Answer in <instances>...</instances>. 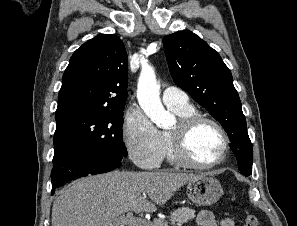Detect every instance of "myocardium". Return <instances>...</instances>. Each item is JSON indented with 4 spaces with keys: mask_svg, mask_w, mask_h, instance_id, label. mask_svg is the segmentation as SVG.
Returning a JSON list of instances; mask_svg holds the SVG:
<instances>
[{
    "mask_svg": "<svg viewBox=\"0 0 297 226\" xmlns=\"http://www.w3.org/2000/svg\"><path fill=\"white\" fill-rule=\"evenodd\" d=\"M202 123H209L215 126L224 139V145L220 156L215 161L207 164L197 162L191 156L188 148V139L191 132L195 127ZM167 134L177 162L180 165L193 169H211L220 165L226 158L231 142L228 132L220 122L212 117L200 114L180 118L176 123L175 129H171Z\"/></svg>",
    "mask_w": 297,
    "mask_h": 226,
    "instance_id": "f54148a6",
    "label": "myocardium"
}]
</instances>
